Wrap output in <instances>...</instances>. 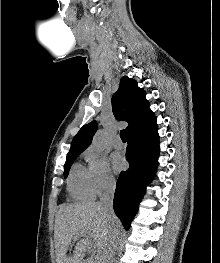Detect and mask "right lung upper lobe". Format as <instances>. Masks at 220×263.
<instances>
[{
	"label": "right lung upper lobe",
	"instance_id": "1",
	"mask_svg": "<svg viewBox=\"0 0 220 263\" xmlns=\"http://www.w3.org/2000/svg\"><path fill=\"white\" fill-rule=\"evenodd\" d=\"M146 93L137 86V82L127 76L122 77L117 92L112 96L114 116L127 121V136H131L157 126L156 118L149 109ZM97 130L96 121L84 125L73 138L68 155L80 154L92 141ZM67 155V156H68Z\"/></svg>",
	"mask_w": 220,
	"mask_h": 263
}]
</instances>
